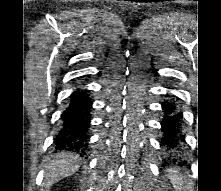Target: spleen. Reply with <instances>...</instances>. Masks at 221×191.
<instances>
[{"mask_svg": "<svg viewBox=\"0 0 221 191\" xmlns=\"http://www.w3.org/2000/svg\"><path fill=\"white\" fill-rule=\"evenodd\" d=\"M169 178L176 191H182L184 183L183 178L179 175V172L177 170H170Z\"/></svg>", "mask_w": 221, "mask_h": 191, "instance_id": "spleen-1", "label": "spleen"}]
</instances>
